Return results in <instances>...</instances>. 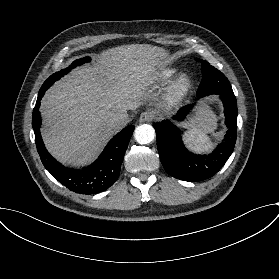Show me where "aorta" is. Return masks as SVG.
<instances>
[{
	"label": "aorta",
	"instance_id": "aorta-1",
	"mask_svg": "<svg viewBox=\"0 0 279 279\" xmlns=\"http://www.w3.org/2000/svg\"><path fill=\"white\" fill-rule=\"evenodd\" d=\"M134 137L139 144H148L153 141L155 130L149 124H142L135 129Z\"/></svg>",
	"mask_w": 279,
	"mask_h": 279
}]
</instances>
